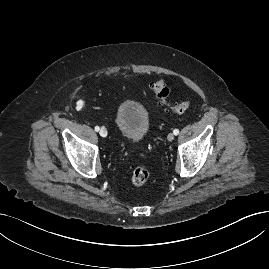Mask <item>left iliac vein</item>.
I'll use <instances>...</instances> for the list:
<instances>
[{"instance_id": "left-iliac-vein-1", "label": "left iliac vein", "mask_w": 269, "mask_h": 269, "mask_svg": "<svg viewBox=\"0 0 269 269\" xmlns=\"http://www.w3.org/2000/svg\"><path fill=\"white\" fill-rule=\"evenodd\" d=\"M168 141H173L174 140V134L173 133H169L167 136Z\"/></svg>"}]
</instances>
